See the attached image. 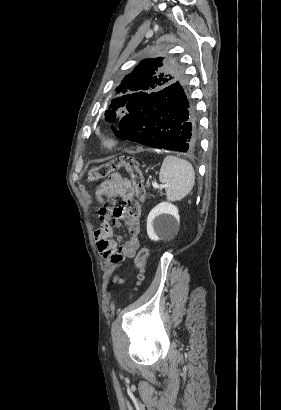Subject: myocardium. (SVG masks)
<instances>
[{
  "mask_svg": "<svg viewBox=\"0 0 281 410\" xmlns=\"http://www.w3.org/2000/svg\"><path fill=\"white\" fill-rule=\"evenodd\" d=\"M100 146L106 151L117 150L121 144L122 139L119 135L114 133H108L100 137Z\"/></svg>",
  "mask_w": 281,
  "mask_h": 410,
  "instance_id": "obj_1",
  "label": "myocardium"
}]
</instances>
